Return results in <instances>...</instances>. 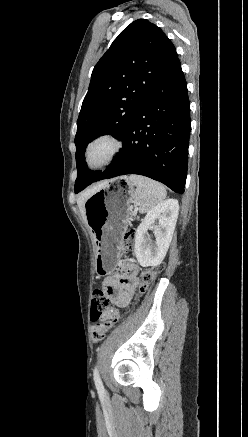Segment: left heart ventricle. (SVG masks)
<instances>
[{
    "label": "left heart ventricle",
    "instance_id": "left-heart-ventricle-1",
    "mask_svg": "<svg viewBox=\"0 0 248 437\" xmlns=\"http://www.w3.org/2000/svg\"><path fill=\"white\" fill-rule=\"evenodd\" d=\"M108 149H109V145L106 144V143H101V144L97 145L93 149V152H92V155H91L92 159L93 160H98V159L102 158L106 154Z\"/></svg>",
    "mask_w": 248,
    "mask_h": 437
}]
</instances>
